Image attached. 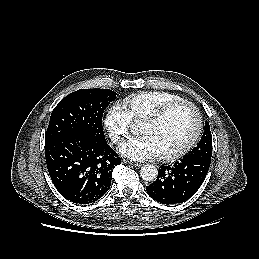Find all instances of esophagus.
Segmentation results:
<instances>
[{
	"mask_svg": "<svg viewBox=\"0 0 259 259\" xmlns=\"http://www.w3.org/2000/svg\"><path fill=\"white\" fill-rule=\"evenodd\" d=\"M123 163H124V164H130V165H132V166H134V167H140V166H142L141 163H134V162H130V161H128V160H123Z\"/></svg>",
	"mask_w": 259,
	"mask_h": 259,
	"instance_id": "34e87169",
	"label": "esophagus"
}]
</instances>
